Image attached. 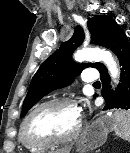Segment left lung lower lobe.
Instances as JSON below:
<instances>
[{
  "label": "left lung lower lobe",
  "mask_w": 130,
  "mask_h": 153,
  "mask_svg": "<svg viewBox=\"0 0 130 153\" xmlns=\"http://www.w3.org/2000/svg\"><path fill=\"white\" fill-rule=\"evenodd\" d=\"M108 49L113 51L120 62L121 79L118 88L113 92L110 86V77L104 65L100 67V77L103 82L102 95L106 96L105 109L130 110V43L124 31L118 32L109 41Z\"/></svg>",
  "instance_id": "obj_1"
}]
</instances>
